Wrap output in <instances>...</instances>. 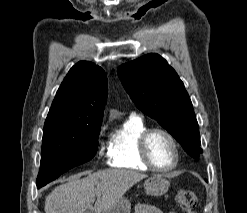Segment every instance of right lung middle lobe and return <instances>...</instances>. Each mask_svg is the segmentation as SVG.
<instances>
[{
    "instance_id": "right-lung-middle-lobe-1",
    "label": "right lung middle lobe",
    "mask_w": 247,
    "mask_h": 213,
    "mask_svg": "<svg viewBox=\"0 0 247 213\" xmlns=\"http://www.w3.org/2000/svg\"><path fill=\"white\" fill-rule=\"evenodd\" d=\"M99 133L100 126H44L37 188L91 160L97 152Z\"/></svg>"
}]
</instances>
